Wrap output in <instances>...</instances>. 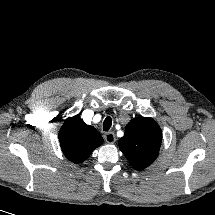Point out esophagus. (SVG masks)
<instances>
[{"label":"esophagus","mask_w":215,"mask_h":215,"mask_svg":"<svg viewBox=\"0 0 215 215\" xmlns=\"http://www.w3.org/2000/svg\"><path fill=\"white\" fill-rule=\"evenodd\" d=\"M104 139L107 143H114L116 141L115 134L113 132H108L104 135Z\"/></svg>","instance_id":"34e87169"}]
</instances>
